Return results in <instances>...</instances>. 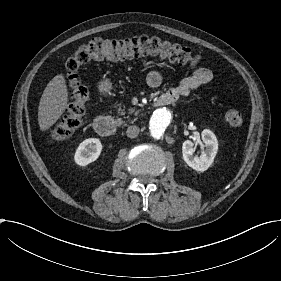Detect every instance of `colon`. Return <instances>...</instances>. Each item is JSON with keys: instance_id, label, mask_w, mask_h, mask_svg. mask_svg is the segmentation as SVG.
Segmentation results:
<instances>
[{"instance_id": "5ec220e1", "label": "colon", "mask_w": 281, "mask_h": 281, "mask_svg": "<svg viewBox=\"0 0 281 281\" xmlns=\"http://www.w3.org/2000/svg\"><path fill=\"white\" fill-rule=\"evenodd\" d=\"M156 55L173 61L184 62L197 67L201 57L178 44L151 37H134L122 40H94L81 46L65 63V79L70 97L67 106L50 127L46 142L51 144L71 137L82 125L88 91L78 75V69L87 63L109 58ZM224 120L231 126H241L243 116L235 108H226Z\"/></svg>"}]
</instances>
